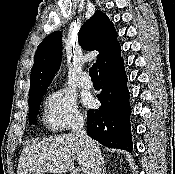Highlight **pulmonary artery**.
I'll return each mask as SVG.
<instances>
[{"label": "pulmonary artery", "mask_w": 175, "mask_h": 174, "mask_svg": "<svg viewBox=\"0 0 175 174\" xmlns=\"http://www.w3.org/2000/svg\"><path fill=\"white\" fill-rule=\"evenodd\" d=\"M80 86L82 88H85V89H90L92 88V82L90 80V77H89V74L87 72H84L82 75H81V78H80Z\"/></svg>", "instance_id": "pulmonary-artery-1"}]
</instances>
